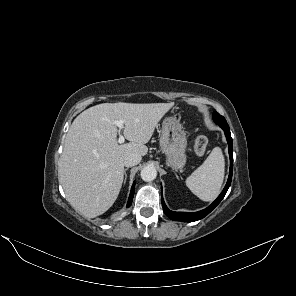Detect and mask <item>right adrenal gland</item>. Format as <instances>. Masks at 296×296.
Listing matches in <instances>:
<instances>
[{"label":"right adrenal gland","instance_id":"2a0ac1e0","mask_svg":"<svg viewBox=\"0 0 296 296\" xmlns=\"http://www.w3.org/2000/svg\"><path fill=\"white\" fill-rule=\"evenodd\" d=\"M127 170H128V168H126V169L124 170V175H125V177H124V184H125L126 179H127V173H126Z\"/></svg>","mask_w":296,"mask_h":296}]
</instances>
